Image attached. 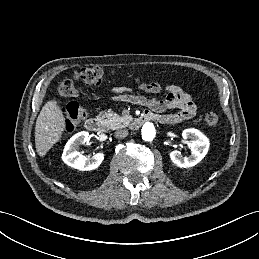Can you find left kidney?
<instances>
[{
  "instance_id": "left-kidney-1",
  "label": "left kidney",
  "mask_w": 259,
  "mask_h": 259,
  "mask_svg": "<svg viewBox=\"0 0 259 259\" xmlns=\"http://www.w3.org/2000/svg\"><path fill=\"white\" fill-rule=\"evenodd\" d=\"M182 137L184 139H191V155L188 157L182 156L180 151L175 150L170 153V159L178 167H193L199 163L208 153L209 140L204 134L194 128L183 130Z\"/></svg>"
}]
</instances>
